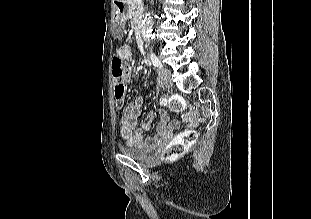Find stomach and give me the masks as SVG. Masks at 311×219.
<instances>
[{"instance_id":"stomach-1","label":"stomach","mask_w":311,"mask_h":219,"mask_svg":"<svg viewBox=\"0 0 311 219\" xmlns=\"http://www.w3.org/2000/svg\"><path fill=\"white\" fill-rule=\"evenodd\" d=\"M115 20H117V22H121L124 24V22L126 20V16L124 14L116 13Z\"/></svg>"}]
</instances>
